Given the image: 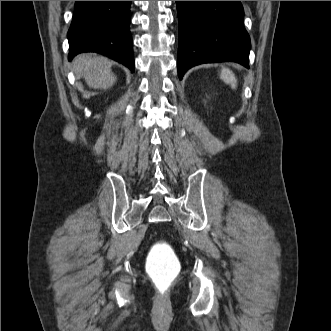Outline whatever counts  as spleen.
<instances>
[{"label":"spleen","instance_id":"1","mask_svg":"<svg viewBox=\"0 0 331 331\" xmlns=\"http://www.w3.org/2000/svg\"><path fill=\"white\" fill-rule=\"evenodd\" d=\"M220 78L226 83L231 85V87L233 89L236 88L237 86V80L235 78L234 73L229 69V68H225L223 67L221 69V74H220Z\"/></svg>","mask_w":331,"mask_h":331}]
</instances>
